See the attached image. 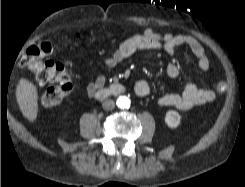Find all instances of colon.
<instances>
[{
	"instance_id": "5ec220e1",
	"label": "colon",
	"mask_w": 245,
	"mask_h": 187,
	"mask_svg": "<svg viewBox=\"0 0 245 187\" xmlns=\"http://www.w3.org/2000/svg\"><path fill=\"white\" fill-rule=\"evenodd\" d=\"M53 51L49 41H39L29 46L21 60V67L30 71L40 84H50L41 96L44 106H55L65 100L72 91V77L69 70L61 63L46 59ZM227 85L218 82L215 90L218 94L225 93Z\"/></svg>"
}]
</instances>
